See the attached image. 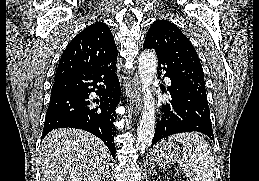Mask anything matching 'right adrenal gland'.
<instances>
[{
    "instance_id": "1",
    "label": "right adrenal gland",
    "mask_w": 259,
    "mask_h": 181,
    "mask_svg": "<svg viewBox=\"0 0 259 181\" xmlns=\"http://www.w3.org/2000/svg\"><path fill=\"white\" fill-rule=\"evenodd\" d=\"M108 179H109V176H106L105 178H103L102 181H108Z\"/></svg>"
}]
</instances>
